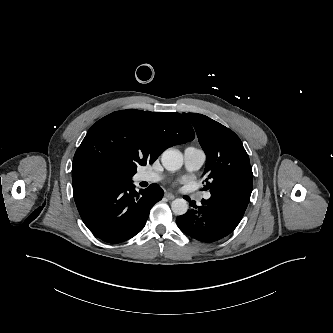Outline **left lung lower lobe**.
I'll use <instances>...</instances> for the list:
<instances>
[{"label":"left lung lower lobe","mask_w":333,"mask_h":333,"mask_svg":"<svg viewBox=\"0 0 333 333\" xmlns=\"http://www.w3.org/2000/svg\"><path fill=\"white\" fill-rule=\"evenodd\" d=\"M253 173L250 165L230 171L219 178L211 198L178 216L176 223L187 235L202 242H214L230 234L241 221L250 200ZM190 201V200H188Z\"/></svg>","instance_id":"obj_1"}]
</instances>
